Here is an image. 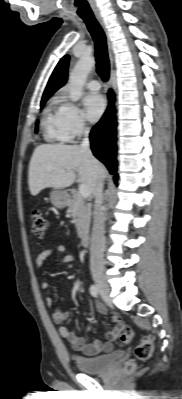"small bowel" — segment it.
Instances as JSON below:
<instances>
[{
  "instance_id": "obj_1",
  "label": "small bowel",
  "mask_w": 182,
  "mask_h": 399,
  "mask_svg": "<svg viewBox=\"0 0 182 399\" xmlns=\"http://www.w3.org/2000/svg\"><path fill=\"white\" fill-rule=\"evenodd\" d=\"M60 257V261L62 263H73L75 262V258L72 255L65 254V247L63 245L56 246L54 248H49L42 251L36 259V265L39 268H42L46 261L54 258ZM49 287V283L47 281L41 282V288L47 289ZM45 302L47 306L53 305V299L51 297H46ZM99 312L103 313L104 309L101 306H98ZM69 316V311H65L62 309H55L52 312V319L54 322L58 324H62ZM110 319L113 323L116 324V327L107 332L106 341L100 342L98 340L92 342L91 344H87L85 340L77 335L75 332L68 329L65 325H61L59 327L60 335L65 338L71 347L76 350L82 352L87 356H94L99 354L102 351L108 352L112 350L113 342L118 338L121 330V326L123 325L120 316L116 313L110 314Z\"/></svg>"
}]
</instances>
